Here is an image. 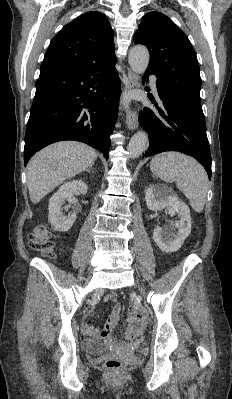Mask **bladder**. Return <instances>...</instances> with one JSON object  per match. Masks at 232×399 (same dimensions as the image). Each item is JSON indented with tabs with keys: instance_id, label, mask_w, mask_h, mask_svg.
<instances>
[{
	"instance_id": "bladder-1",
	"label": "bladder",
	"mask_w": 232,
	"mask_h": 399,
	"mask_svg": "<svg viewBox=\"0 0 232 399\" xmlns=\"http://www.w3.org/2000/svg\"><path fill=\"white\" fill-rule=\"evenodd\" d=\"M82 349L87 354L98 355L105 351V346L97 340L86 339L82 342Z\"/></svg>"
}]
</instances>
